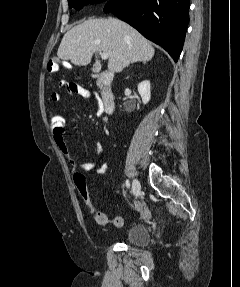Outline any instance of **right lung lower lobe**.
I'll return each mask as SVG.
<instances>
[{"mask_svg": "<svg viewBox=\"0 0 240 287\" xmlns=\"http://www.w3.org/2000/svg\"><path fill=\"white\" fill-rule=\"evenodd\" d=\"M190 0H109L111 12L162 46L177 62L189 22Z\"/></svg>", "mask_w": 240, "mask_h": 287, "instance_id": "98d812e1", "label": "right lung lower lobe"}]
</instances>
